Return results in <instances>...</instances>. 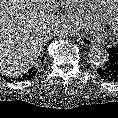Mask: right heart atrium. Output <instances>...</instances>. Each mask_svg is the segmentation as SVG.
I'll use <instances>...</instances> for the list:
<instances>
[{
    "mask_svg": "<svg viewBox=\"0 0 118 118\" xmlns=\"http://www.w3.org/2000/svg\"><path fill=\"white\" fill-rule=\"evenodd\" d=\"M73 19L76 23H80L83 21H86L87 19L83 16V14L81 12H79V10L73 15Z\"/></svg>",
    "mask_w": 118,
    "mask_h": 118,
    "instance_id": "obj_1",
    "label": "right heart atrium"
}]
</instances>
